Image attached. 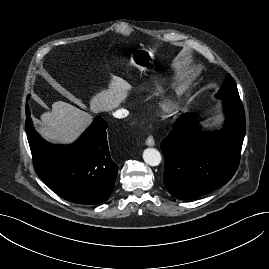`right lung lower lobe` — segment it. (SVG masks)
<instances>
[{"label": "right lung lower lobe", "mask_w": 269, "mask_h": 269, "mask_svg": "<svg viewBox=\"0 0 269 269\" xmlns=\"http://www.w3.org/2000/svg\"><path fill=\"white\" fill-rule=\"evenodd\" d=\"M106 128V121L98 116L75 143L52 145L35 131L27 107L26 133L37 175L70 202L106 201L114 189L118 171L109 154Z\"/></svg>", "instance_id": "98d812e1"}]
</instances>
